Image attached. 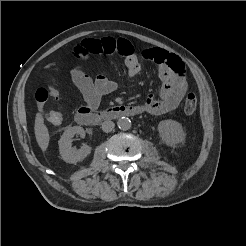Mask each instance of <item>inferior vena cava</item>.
<instances>
[{
	"mask_svg": "<svg viewBox=\"0 0 246 246\" xmlns=\"http://www.w3.org/2000/svg\"><path fill=\"white\" fill-rule=\"evenodd\" d=\"M114 122L107 120L102 123V130L106 133L111 132L114 129Z\"/></svg>",
	"mask_w": 246,
	"mask_h": 246,
	"instance_id": "inferior-vena-cava-1",
	"label": "inferior vena cava"
}]
</instances>
